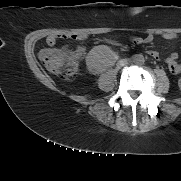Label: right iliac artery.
Listing matches in <instances>:
<instances>
[{
  "mask_svg": "<svg viewBox=\"0 0 181 181\" xmlns=\"http://www.w3.org/2000/svg\"><path fill=\"white\" fill-rule=\"evenodd\" d=\"M132 60H133V62H135L137 59H136V57H132Z\"/></svg>",
  "mask_w": 181,
  "mask_h": 181,
  "instance_id": "82829eb1",
  "label": "right iliac artery"
}]
</instances>
